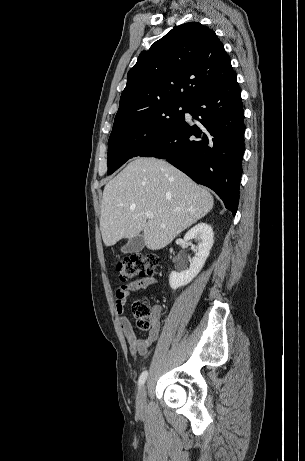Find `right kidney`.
Listing matches in <instances>:
<instances>
[{"label":"right kidney","mask_w":305,"mask_h":461,"mask_svg":"<svg viewBox=\"0 0 305 461\" xmlns=\"http://www.w3.org/2000/svg\"><path fill=\"white\" fill-rule=\"evenodd\" d=\"M185 241L198 240V245L191 244V249L195 256L190 262L189 267H185L180 272L172 271L169 276V284L173 290L190 283L203 268L206 259L214 243V233L210 225L199 223L191 228L184 236Z\"/></svg>","instance_id":"ca27d5eb"}]
</instances>
